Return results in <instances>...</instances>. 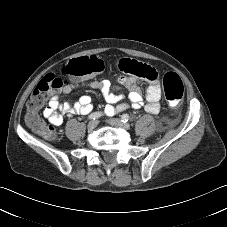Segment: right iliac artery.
Listing matches in <instances>:
<instances>
[{
  "label": "right iliac artery",
  "instance_id": "right-iliac-artery-1",
  "mask_svg": "<svg viewBox=\"0 0 227 227\" xmlns=\"http://www.w3.org/2000/svg\"><path fill=\"white\" fill-rule=\"evenodd\" d=\"M102 115H103L102 112H94L89 115V119L95 120V119L101 117Z\"/></svg>",
  "mask_w": 227,
  "mask_h": 227
}]
</instances>
